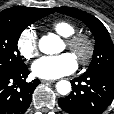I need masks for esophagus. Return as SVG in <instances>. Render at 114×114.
Returning a JSON list of instances; mask_svg holds the SVG:
<instances>
[{
  "label": "esophagus",
  "mask_w": 114,
  "mask_h": 114,
  "mask_svg": "<svg viewBox=\"0 0 114 114\" xmlns=\"http://www.w3.org/2000/svg\"><path fill=\"white\" fill-rule=\"evenodd\" d=\"M42 83H45V84H52L54 83L55 81L54 80H41Z\"/></svg>",
  "instance_id": "34e87169"
}]
</instances>
